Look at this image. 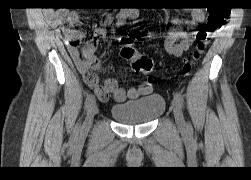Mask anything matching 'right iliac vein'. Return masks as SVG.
Wrapping results in <instances>:
<instances>
[{
	"label": "right iliac vein",
	"instance_id": "right-iliac-vein-1",
	"mask_svg": "<svg viewBox=\"0 0 251 180\" xmlns=\"http://www.w3.org/2000/svg\"><path fill=\"white\" fill-rule=\"evenodd\" d=\"M98 111V106L97 104L94 102L92 103V105L88 108V111H87V115H86V119H85V122L83 124V130L84 131H88L91 127V124H92V121H93V118L95 116V114L97 113Z\"/></svg>",
	"mask_w": 251,
	"mask_h": 180
}]
</instances>
